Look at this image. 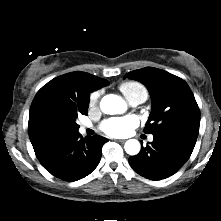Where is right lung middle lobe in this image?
I'll use <instances>...</instances> for the list:
<instances>
[{"label":"right lung middle lobe","mask_w":221,"mask_h":221,"mask_svg":"<svg viewBox=\"0 0 221 221\" xmlns=\"http://www.w3.org/2000/svg\"><path fill=\"white\" fill-rule=\"evenodd\" d=\"M87 115V110L84 111H78V110H71L67 114V119L71 123L73 129L78 132L79 125L75 122L76 118L78 117L79 114Z\"/></svg>","instance_id":"dd1d6c3e"}]
</instances>
